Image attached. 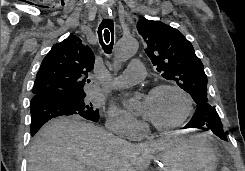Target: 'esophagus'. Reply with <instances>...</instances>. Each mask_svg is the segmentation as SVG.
<instances>
[{"label": "esophagus", "instance_id": "obj_1", "mask_svg": "<svg viewBox=\"0 0 245 171\" xmlns=\"http://www.w3.org/2000/svg\"><path fill=\"white\" fill-rule=\"evenodd\" d=\"M101 14L105 18H108V17L112 16V13L110 12V10L107 7H102L101 8Z\"/></svg>", "mask_w": 245, "mask_h": 171}]
</instances>
